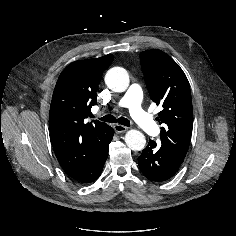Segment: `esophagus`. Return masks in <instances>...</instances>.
Here are the masks:
<instances>
[{"instance_id": "1", "label": "esophagus", "mask_w": 236, "mask_h": 236, "mask_svg": "<svg viewBox=\"0 0 236 236\" xmlns=\"http://www.w3.org/2000/svg\"><path fill=\"white\" fill-rule=\"evenodd\" d=\"M127 129H128V127L123 126V125H119V124L114 125V130L116 133H123V132L127 131Z\"/></svg>"}]
</instances>
